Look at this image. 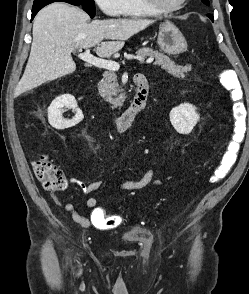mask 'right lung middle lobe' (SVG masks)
Returning a JSON list of instances; mask_svg holds the SVG:
<instances>
[{
    "instance_id": "dd1d6c3e",
    "label": "right lung middle lobe",
    "mask_w": 249,
    "mask_h": 294,
    "mask_svg": "<svg viewBox=\"0 0 249 294\" xmlns=\"http://www.w3.org/2000/svg\"><path fill=\"white\" fill-rule=\"evenodd\" d=\"M67 2L72 5H83L84 6V11H86L91 18L95 16V5H94V0H34L33 8H38V7H44L47 4H50L52 2Z\"/></svg>"
}]
</instances>
